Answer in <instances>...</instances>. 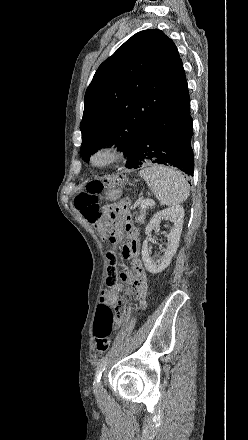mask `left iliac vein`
<instances>
[{
	"label": "left iliac vein",
	"mask_w": 248,
	"mask_h": 440,
	"mask_svg": "<svg viewBox=\"0 0 248 440\" xmlns=\"http://www.w3.org/2000/svg\"><path fill=\"white\" fill-rule=\"evenodd\" d=\"M95 387H96V392H97V394L100 395L101 392H102V386H101V383H97V384H95Z\"/></svg>",
	"instance_id": "obj_1"
}]
</instances>
